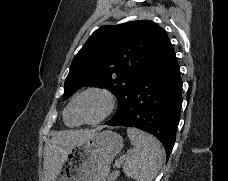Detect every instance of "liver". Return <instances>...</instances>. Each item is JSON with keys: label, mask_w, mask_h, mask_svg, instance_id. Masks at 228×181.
Returning <instances> with one entry per match:
<instances>
[{"label": "liver", "mask_w": 228, "mask_h": 181, "mask_svg": "<svg viewBox=\"0 0 228 181\" xmlns=\"http://www.w3.org/2000/svg\"><path fill=\"white\" fill-rule=\"evenodd\" d=\"M97 131H56L52 133V139L44 149V173L47 181H56L68 153L75 145L85 143L89 137H93Z\"/></svg>", "instance_id": "6515ba94"}]
</instances>
